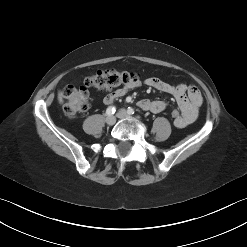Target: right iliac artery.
I'll return each mask as SVG.
<instances>
[{
  "label": "right iliac artery",
  "mask_w": 247,
  "mask_h": 247,
  "mask_svg": "<svg viewBox=\"0 0 247 247\" xmlns=\"http://www.w3.org/2000/svg\"><path fill=\"white\" fill-rule=\"evenodd\" d=\"M115 111H116V108L114 106H110V107L107 108L106 114L108 116H111V115H113L115 113Z\"/></svg>",
  "instance_id": "82829eb1"
}]
</instances>
